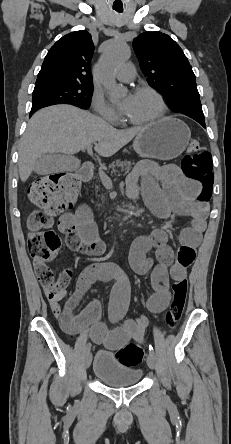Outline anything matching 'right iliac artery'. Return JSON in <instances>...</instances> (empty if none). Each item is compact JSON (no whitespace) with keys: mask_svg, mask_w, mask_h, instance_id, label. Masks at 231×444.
<instances>
[{"mask_svg":"<svg viewBox=\"0 0 231 444\" xmlns=\"http://www.w3.org/2000/svg\"><path fill=\"white\" fill-rule=\"evenodd\" d=\"M90 349H91V344L88 343V344L86 345V347H85V352H89Z\"/></svg>","mask_w":231,"mask_h":444,"instance_id":"1","label":"right iliac artery"}]
</instances>
